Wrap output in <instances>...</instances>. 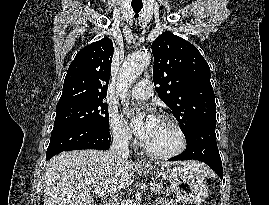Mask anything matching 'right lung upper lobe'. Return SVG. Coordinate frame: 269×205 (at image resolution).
<instances>
[{"mask_svg": "<svg viewBox=\"0 0 269 205\" xmlns=\"http://www.w3.org/2000/svg\"><path fill=\"white\" fill-rule=\"evenodd\" d=\"M113 51L109 38L81 49L68 68L57 106L103 101L107 94Z\"/></svg>", "mask_w": 269, "mask_h": 205, "instance_id": "obj_1", "label": "right lung upper lobe"}]
</instances>
